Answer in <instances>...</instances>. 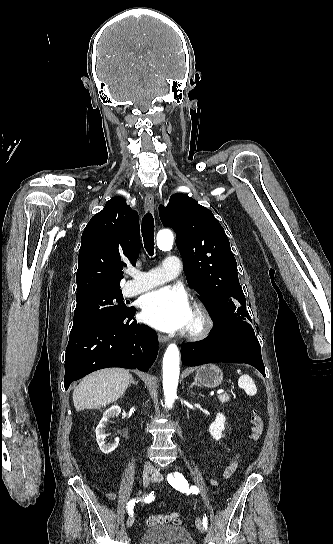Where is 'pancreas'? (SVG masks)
<instances>
[{
  "instance_id": "1",
  "label": "pancreas",
  "mask_w": 333,
  "mask_h": 544,
  "mask_svg": "<svg viewBox=\"0 0 333 544\" xmlns=\"http://www.w3.org/2000/svg\"><path fill=\"white\" fill-rule=\"evenodd\" d=\"M218 399L220 400V402L226 403L229 401L230 396L228 394H222L218 396Z\"/></svg>"
}]
</instances>
